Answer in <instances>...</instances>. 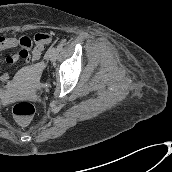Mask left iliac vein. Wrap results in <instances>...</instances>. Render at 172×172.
<instances>
[{
	"mask_svg": "<svg viewBox=\"0 0 172 172\" xmlns=\"http://www.w3.org/2000/svg\"><path fill=\"white\" fill-rule=\"evenodd\" d=\"M57 56H58V49L55 48V47H51L49 49V58L54 61L57 59Z\"/></svg>",
	"mask_w": 172,
	"mask_h": 172,
	"instance_id": "obj_1",
	"label": "left iliac vein"
}]
</instances>
